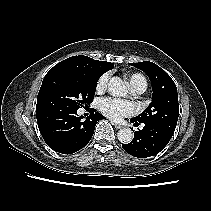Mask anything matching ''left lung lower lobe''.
Instances as JSON below:
<instances>
[{"label":"left lung lower lobe","mask_w":211,"mask_h":211,"mask_svg":"<svg viewBox=\"0 0 211 211\" xmlns=\"http://www.w3.org/2000/svg\"><path fill=\"white\" fill-rule=\"evenodd\" d=\"M134 125H139L138 122ZM142 130L134 131V138L128 144H123V149L130 155L138 158H146L158 154L170 141L174 133H171L157 125L143 123Z\"/></svg>","instance_id":"left-lung-lower-lobe-1"}]
</instances>
